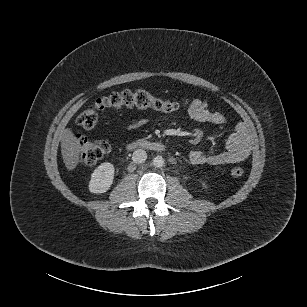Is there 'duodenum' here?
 <instances>
[{
  "label": "duodenum",
  "instance_id": "1",
  "mask_svg": "<svg viewBox=\"0 0 307 307\" xmlns=\"http://www.w3.org/2000/svg\"><path fill=\"white\" fill-rule=\"evenodd\" d=\"M136 146H140V147H144L147 149H150L152 151H163L165 150V146L159 142H151V141H147V140H138L136 142L130 143L129 147L133 148Z\"/></svg>",
  "mask_w": 307,
  "mask_h": 307
}]
</instances>
